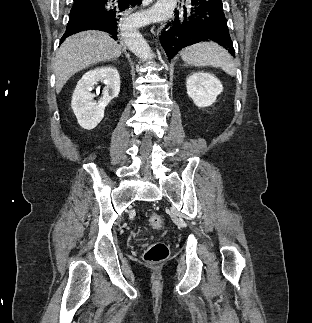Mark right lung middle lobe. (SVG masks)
I'll list each match as a JSON object with an SVG mask.
<instances>
[{"label": "right lung middle lobe", "instance_id": "dd1d6c3e", "mask_svg": "<svg viewBox=\"0 0 312 323\" xmlns=\"http://www.w3.org/2000/svg\"><path fill=\"white\" fill-rule=\"evenodd\" d=\"M77 2V0H74V3H76Z\"/></svg>", "mask_w": 312, "mask_h": 323}]
</instances>
